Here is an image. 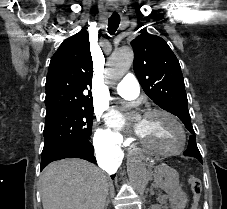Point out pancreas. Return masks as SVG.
Masks as SVG:
<instances>
[{"label": "pancreas", "mask_w": 227, "mask_h": 209, "mask_svg": "<svg viewBox=\"0 0 227 209\" xmlns=\"http://www.w3.org/2000/svg\"><path fill=\"white\" fill-rule=\"evenodd\" d=\"M161 202H162V204H161L160 206H161L163 209H167V206L169 207L168 209H171V208H170L171 205H170V204L167 205V203L169 202L167 199H166V200L163 199Z\"/></svg>", "instance_id": "pancreas-1"}]
</instances>
